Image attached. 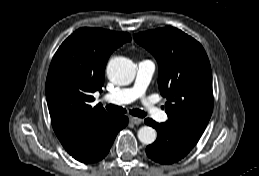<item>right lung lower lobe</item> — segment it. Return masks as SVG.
<instances>
[{
    "label": "right lung lower lobe",
    "mask_w": 259,
    "mask_h": 176,
    "mask_svg": "<svg viewBox=\"0 0 259 176\" xmlns=\"http://www.w3.org/2000/svg\"><path fill=\"white\" fill-rule=\"evenodd\" d=\"M128 124L123 115H112L111 121L80 150L70 155L82 163H94L103 159L109 152L117 133Z\"/></svg>",
    "instance_id": "98d812e1"
}]
</instances>
